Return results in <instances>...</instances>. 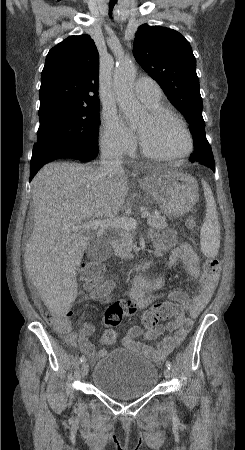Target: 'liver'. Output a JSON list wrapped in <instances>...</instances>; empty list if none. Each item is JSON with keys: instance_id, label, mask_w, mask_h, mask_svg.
Masks as SVG:
<instances>
[{"instance_id": "obj_1", "label": "liver", "mask_w": 245, "mask_h": 450, "mask_svg": "<svg viewBox=\"0 0 245 450\" xmlns=\"http://www.w3.org/2000/svg\"><path fill=\"white\" fill-rule=\"evenodd\" d=\"M127 192L123 169L101 178L93 167L55 162L34 177V228L24 262L50 312H68L77 296L76 273L90 239L71 227L115 217Z\"/></svg>"}]
</instances>
